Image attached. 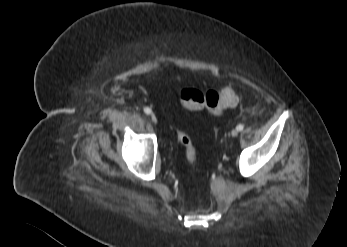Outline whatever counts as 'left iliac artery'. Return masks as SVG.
Listing matches in <instances>:
<instances>
[{"mask_svg":"<svg viewBox=\"0 0 347 247\" xmlns=\"http://www.w3.org/2000/svg\"><path fill=\"white\" fill-rule=\"evenodd\" d=\"M243 128H244V126H243L242 124H239V125L236 127V129H237L238 131H242Z\"/></svg>","mask_w":347,"mask_h":247,"instance_id":"obj_1","label":"left iliac artery"}]
</instances>
